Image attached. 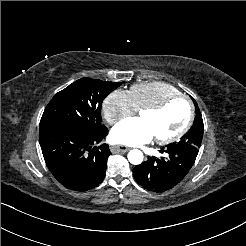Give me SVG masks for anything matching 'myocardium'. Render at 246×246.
<instances>
[{"label":"myocardium","instance_id":"1","mask_svg":"<svg viewBox=\"0 0 246 246\" xmlns=\"http://www.w3.org/2000/svg\"><path fill=\"white\" fill-rule=\"evenodd\" d=\"M177 99L184 100L188 106V114H187L186 121H185L184 125L174 134H172L168 137H162V138L155 137L157 143H159V144L172 143V142L176 141L177 139H179L181 136H183L189 130V128L191 127L193 118H194V108H193V104H192L191 100L186 95L178 93L176 95H173V96H170V97L164 99L163 101H161L158 104L145 107L142 110H140V112H139V113H142V112L159 113Z\"/></svg>","mask_w":246,"mask_h":246}]
</instances>
